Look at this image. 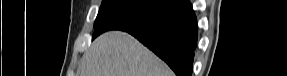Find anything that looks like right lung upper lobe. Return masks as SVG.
<instances>
[{
  "label": "right lung upper lobe",
  "instance_id": "1",
  "mask_svg": "<svg viewBox=\"0 0 287 76\" xmlns=\"http://www.w3.org/2000/svg\"><path fill=\"white\" fill-rule=\"evenodd\" d=\"M175 1V3H178L179 1H181V0H174Z\"/></svg>",
  "mask_w": 287,
  "mask_h": 76
}]
</instances>
